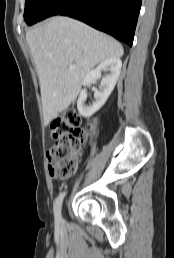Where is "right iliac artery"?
Returning a JSON list of instances; mask_svg holds the SVG:
<instances>
[{
	"mask_svg": "<svg viewBox=\"0 0 174 258\" xmlns=\"http://www.w3.org/2000/svg\"><path fill=\"white\" fill-rule=\"evenodd\" d=\"M66 192L61 193L55 200L54 203V216H55V221L56 223L62 222V217H61V206L63 202V198L65 196Z\"/></svg>",
	"mask_w": 174,
	"mask_h": 258,
	"instance_id": "right-iliac-artery-1",
	"label": "right iliac artery"
}]
</instances>
